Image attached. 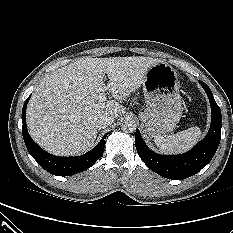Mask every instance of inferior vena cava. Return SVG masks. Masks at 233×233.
<instances>
[{
    "instance_id": "1",
    "label": "inferior vena cava",
    "mask_w": 233,
    "mask_h": 233,
    "mask_svg": "<svg viewBox=\"0 0 233 233\" xmlns=\"http://www.w3.org/2000/svg\"><path fill=\"white\" fill-rule=\"evenodd\" d=\"M114 121V117L109 114H101L94 117V124L97 129H103L110 126Z\"/></svg>"
}]
</instances>
